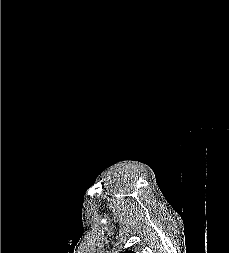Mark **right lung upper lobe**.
Wrapping results in <instances>:
<instances>
[{
    "instance_id": "right-lung-upper-lobe-1",
    "label": "right lung upper lobe",
    "mask_w": 229,
    "mask_h": 253,
    "mask_svg": "<svg viewBox=\"0 0 229 253\" xmlns=\"http://www.w3.org/2000/svg\"><path fill=\"white\" fill-rule=\"evenodd\" d=\"M122 253H135L134 251H125V252H122Z\"/></svg>"
}]
</instances>
